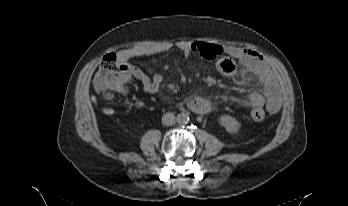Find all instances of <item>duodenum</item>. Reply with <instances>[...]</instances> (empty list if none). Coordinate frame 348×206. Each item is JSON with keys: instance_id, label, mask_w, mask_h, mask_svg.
Listing matches in <instances>:
<instances>
[{"instance_id": "410a0bca", "label": "duodenum", "mask_w": 348, "mask_h": 206, "mask_svg": "<svg viewBox=\"0 0 348 206\" xmlns=\"http://www.w3.org/2000/svg\"><path fill=\"white\" fill-rule=\"evenodd\" d=\"M197 113H205L207 111L206 105H199L193 108Z\"/></svg>"}]
</instances>
